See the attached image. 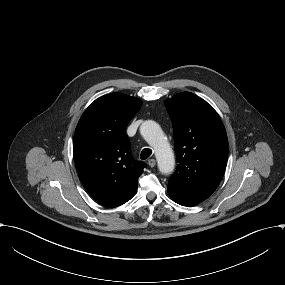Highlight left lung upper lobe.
I'll use <instances>...</instances> for the list:
<instances>
[{
  "label": "left lung upper lobe",
  "mask_w": 285,
  "mask_h": 285,
  "mask_svg": "<svg viewBox=\"0 0 285 285\" xmlns=\"http://www.w3.org/2000/svg\"><path fill=\"white\" fill-rule=\"evenodd\" d=\"M178 165L168 190L200 203L219 185L228 158L225 127L213 107L190 92L165 100Z\"/></svg>",
  "instance_id": "5c2ea615"
}]
</instances>
